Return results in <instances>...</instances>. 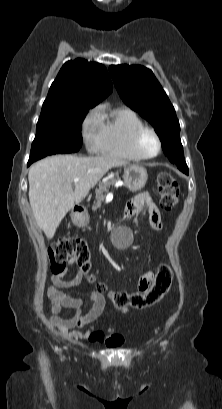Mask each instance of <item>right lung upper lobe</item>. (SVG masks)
<instances>
[{"instance_id": "cb5924a9", "label": "right lung upper lobe", "mask_w": 222, "mask_h": 409, "mask_svg": "<svg viewBox=\"0 0 222 409\" xmlns=\"http://www.w3.org/2000/svg\"><path fill=\"white\" fill-rule=\"evenodd\" d=\"M106 68L78 58L66 62L52 83L42 110L64 106H95L112 92Z\"/></svg>"}]
</instances>
